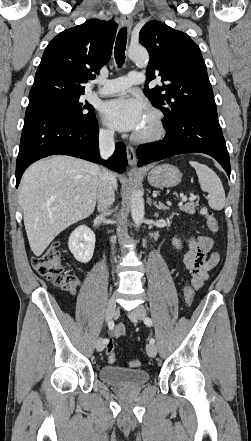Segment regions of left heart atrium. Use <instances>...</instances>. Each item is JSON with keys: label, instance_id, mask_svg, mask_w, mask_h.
Listing matches in <instances>:
<instances>
[{"label": "left heart atrium", "instance_id": "obj_1", "mask_svg": "<svg viewBox=\"0 0 251 441\" xmlns=\"http://www.w3.org/2000/svg\"><path fill=\"white\" fill-rule=\"evenodd\" d=\"M104 120L113 128L123 132L138 133L146 116L145 102L136 97H118L105 102L101 107Z\"/></svg>", "mask_w": 251, "mask_h": 441}]
</instances>
